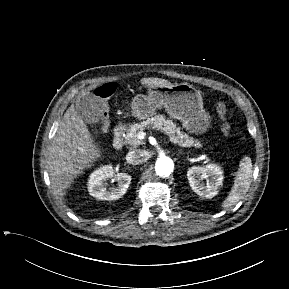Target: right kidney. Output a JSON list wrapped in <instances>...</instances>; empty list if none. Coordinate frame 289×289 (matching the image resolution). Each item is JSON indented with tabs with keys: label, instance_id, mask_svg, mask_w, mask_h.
Here are the masks:
<instances>
[{
	"label": "right kidney",
	"instance_id": "right-kidney-1",
	"mask_svg": "<svg viewBox=\"0 0 289 289\" xmlns=\"http://www.w3.org/2000/svg\"><path fill=\"white\" fill-rule=\"evenodd\" d=\"M117 182V187L106 188V180ZM131 182V176L126 173L114 174L111 165L102 166L93 171L88 179V191L99 200H117L123 196Z\"/></svg>",
	"mask_w": 289,
	"mask_h": 289
}]
</instances>
